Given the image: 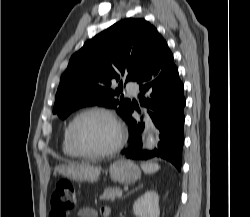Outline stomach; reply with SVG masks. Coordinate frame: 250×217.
Wrapping results in <instances>:
<instances>
[{
    "label": "stomach",
    "instance_id": "0dacf381",
    "mask_svg": "<svg viewBox=\"0 0 250 217\" xmlns=\"http://www.w3.org/2000/svg\"><path fill=\"white\" fill-rule=\"evenodd\" d=\"M101 169L89 164H63L55 168V173L74 180L94 182L98 180ZM111 178L119 183L130 184L140 178V169L129 160H118L110 165Z\"/></svg>",
    "mask_w": 250,
    "mask_h": 217
}]
</instances>
